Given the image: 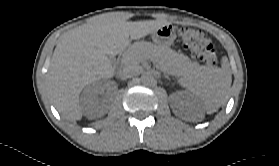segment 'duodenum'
<instances>
[{"instance_id": "duodenum-1", "label": "duodenum", "mask_w": 279, "mask_h": 166, "mask_svg": "<svg viewBox=\"0 0 279 166\" xmlns=\"http://www.w3.org/2000/svg\"><path fill=\"white\" fill-rule=\"evenodd\" d=\"M127 48H128V46H127V47H125L123 51H126V50H127Z\"/></svg>"}]
</instances>
